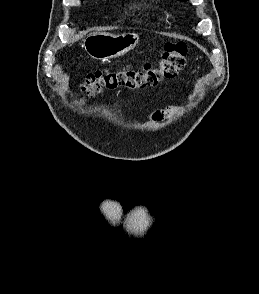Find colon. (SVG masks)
<instances>
[{
	"mask_svg": "<svg viewBox=\"0 0 259 294\" xmlns=\"http://www.w3.org/2000/svg\"><path fill=\"white\" fill-rule=\"evenodd\" d=\"M187 47L183 42H170L164 47L159 63L155 66L144 64L140 69L126 66L117 71L99 69L87 75L81 91L85 96H93L104 87L144 88L157 85L163 79L176 77L185 65Z\"/></svg>",
	"mask_w": 259,
	"mask_h": 294,
	"instance_id": "colon-1",
	"label": "colon"
}]
</instances>
